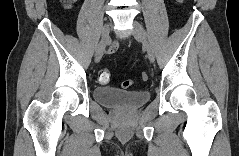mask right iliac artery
<instances>
[{
  "label": "right iliac artery",
  "instance_id": "82829eb1",
  "mask_svg": "<svg viewBox=\"0 0 239 156\" xmlns=\"http://www.w3.org/2000/svg\"><path fill=\"white\" fill-rule=\"evenodd\" d=\"M100 44H101V42H100L99 45L97 46V48H96V52L98 51V49H99V47H100Z\"/></svg>",
  "mask_w": 239,
  "mask_h": 156
}]
</instances>
